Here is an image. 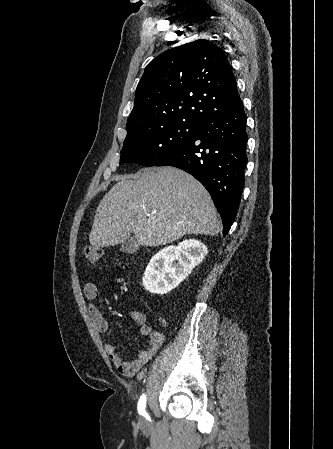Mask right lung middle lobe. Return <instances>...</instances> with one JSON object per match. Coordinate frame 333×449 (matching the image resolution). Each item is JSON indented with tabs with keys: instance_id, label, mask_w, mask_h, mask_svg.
I'll return each instance as SVG.
<instances>
[{
	"instance_id": "1",
	"label": "right lung middle lobe",
	"mask_w": 333,
	"mask_h": 449,
	"mask_svg": "<svg viewBox=\"0 0 333 449\" xmlns=\"http://www.w3.org/2000/svg\"><path fill=\"white\" fill-rule=\"evenodd\" d=\"M199 126V123L190 121H175L126 139L120 164L130 162L155 166L190 139Z\"/></svg>"
}]
</instances>
